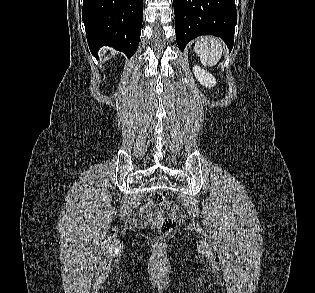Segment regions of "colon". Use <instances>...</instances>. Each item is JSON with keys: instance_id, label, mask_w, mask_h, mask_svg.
I'll list each match as a JSON object with an SVG mask.
<instances>
[{"instance_id": "1", "label": "colon", "mask_w": 315, "mask_h": 293, "mask_svg": "<svg viewBox=\"0 0 315 293\" xmlns=\"http://www.w3.org/2000/svg\"><path fill=\"white\" fill-rule=\"evenodd\" d=\"M164 201V196L160 192H153L149 196V202L152 205L160 206L164 204ZM168 211L173 217H162L156 222V227L162 235H168L171 233L176 228L177 220L182 219L184 216L183 212L173 204L168 206Z\"/></svg>"}]
</instances>
